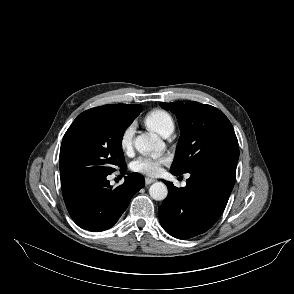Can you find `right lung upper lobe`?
I'll list each match as a JSON object with an SVG mask.
<instances>
[{
  "label": "right lung upper lobe",
  "mask_w": 294,
  "mask_h": 294,
  "mask_svg": "<svg viewBox=\"0 0 294 294\" xmlns=\"http://www.w3.org/2000/svg\"><path fill=\"white\" fill-rule=\"evenodd\" d=\"M105 106L116 108L126 114L134 113L138 109L141 108V106L138 104H131V105H129V104H114V105H105Z\"/></svg>",
  "instance_id": "right-lung-upper-lobe-1"
}]
</instances>
